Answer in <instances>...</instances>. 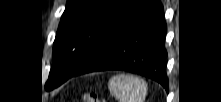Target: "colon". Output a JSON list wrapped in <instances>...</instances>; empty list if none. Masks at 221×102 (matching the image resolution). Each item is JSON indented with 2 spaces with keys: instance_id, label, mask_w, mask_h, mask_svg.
Listing matches in <instances>:
<instances>
[{
  "instance_id": "1",
  "label": "colon",
  "mask_w": 221,
  "mask_h": 102,
  "mask_svg": "<svg viewBox=\"0 0 221 102\" xmlns=\"http://www.w3.org/2000/svg\"><path fill=\"white\" fill-rule=\"evenodd\" d=\"M81 102H101V101L95 93L86 92L82 95Z\"/></svg>"
}]
</instances>
